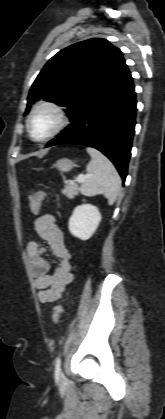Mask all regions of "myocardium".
<instances>
[{
  "mask_svg": "<svg viewBox=\"0 0 165 419\" xmlns=\"http://www.w3.org/2000/svg\"><path fill=\"white\" fill-rule=\"evenodd\" d=\"M41 109H48L52 111L56 115L57 122H56L55 127L49 134H47L43 138L37 139L32 134L31 121L34 115ZM67 123H68V117L64 108L61 105L53 101H40L36 103L32 107L31 111L29 112L26 119V129L32 141L37 142V143H43L57 136L66 127Z\"/></svg>",
  "mask_w": 165,
  "mask_h": 419,
  "instance_id": "obj_1",
  "label": "myocardium"
}]
</instances>
